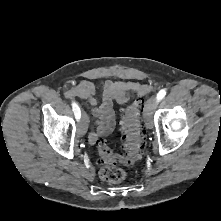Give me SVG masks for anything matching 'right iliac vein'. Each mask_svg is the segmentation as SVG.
I'll return each instance as SVG.
<instances>
[{
    "label": "right iliac vein",
    "instance_id": "right-iliac-vein-1",
    "mask_svg": "<svg viewBox=\"0 0 221 221\" xmlns=\"http://www.w3.org/2000/svg\"><path fill=\"white\" fill-rule=\"evenodd\" d=\"M87 128H88V117H87L86 113L83 112L80 124L78 126V134L80 136L85 135V133L87 132Z\"/></svg>",
    "mask_w": 221,
    "mask_h": 221
}]
</instances>
